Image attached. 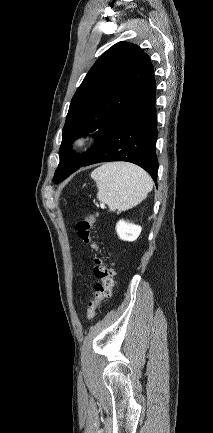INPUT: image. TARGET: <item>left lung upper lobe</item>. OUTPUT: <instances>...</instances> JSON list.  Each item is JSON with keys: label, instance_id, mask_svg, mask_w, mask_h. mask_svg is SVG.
<instances>
[{"label": "left lung upper lobe", "instance_id": "left-lung-upper-lobe-1", "mask_svg": "<svg viewBox=\"0 0 213 433\" xmlns=\"http://www.w3.org/2000/svg\"><path fill=\"white\" fill-rule=\"evenodd\" d=\"M152 72L149 56L129 42H119L99 57L71 100L62 130L55 183L84 166L99 150L116 120ZM89 133L97 141L93 147L82 155L69 149L75 139Z\"/></svg>", "mask_w": 213, "mask_h": 433}]
</instances>
